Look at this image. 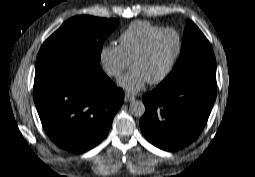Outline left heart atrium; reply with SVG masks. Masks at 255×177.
I'll return each mask as SVG.
<instances>
[{"mask_svg": "<svg viewBox=\"0 0 255 177\" xmlns=\"http://www.w3.org/2000/svg\"><path fill=\"white\" fill-rule=\"evenodd\" d=\"M147 81V78L140 71L132 70L123 76L118 84L127 92L134 94L142 90Z\"/></svg>", "mask_w": 255, "mask_h": 177, "instance_id": "39dd6f15", "label": "left heart atrium"}]
</instances>
